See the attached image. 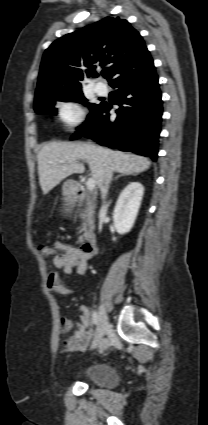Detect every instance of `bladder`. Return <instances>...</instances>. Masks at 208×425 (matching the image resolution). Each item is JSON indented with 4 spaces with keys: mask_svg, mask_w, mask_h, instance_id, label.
<instances>
[{
    "mask_svg": "<svg viewBox=\"0 0 208 425\" xmlns=\"http://www.w3.org/2000/svg\"><path fill=\"white\" fill-rule=\"evenodd\" d=\"M79 377L104 389H113L119 382L114 367L106 362L89 365L80 373Z\"/></svg>",
    "mask_w": 208,
    "mask_h": 425,
    "instance_id": "31cf9c89",
    "label": "bladder"
}]
</instances>
